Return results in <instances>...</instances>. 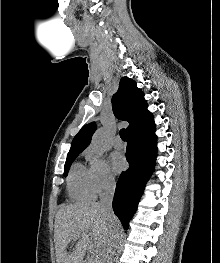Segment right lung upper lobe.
Here are the masks:
<instances>
[{
    "label": "right lung upper lobe",
    "mask_w": 220,
    "mask_h": 263,
    "mask_svg": "<svg viewBox=\"0 0 220 263\" xmlns=\"http://www.w3.org/2000/svg\"><path fill=\"white\" fill-rule=\"evenodd\" d=\"M112 107L118 119L129 122L127 136L155 126L142 91L136 87L135 81L128 77L121 79L119 89L112 97ZM95 130L94 122L84 125L74 137L68 155L82 152L90 144Z\"/></svg>",
    "instance_id": "right-lung-upper-lobe-1"
}]
</instances>
